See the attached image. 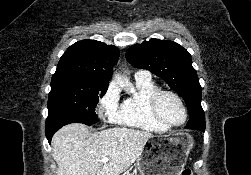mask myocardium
<instances>
[{
	"instance_id": "myocardium-1",
	"label": "myocardium",
	"mask_w": 251,
	"mask_h": 175,
	"mask_svg": "<svg viewBox=\"0 0 251 175\" xmlns=\"http://www.w3.org/2000/svg\"><path fill=\"white\" fill-rule=\"evenodd\" d=\"M165 94L173 95L175 98H177L179 100V102L182 104V106L184 108L185 119H184L183 123L178 126H173V125H170L169 123H167L161 117V115L159 113L158 102H159V99ZM147 106H148L149 113L155 119V121L158 122L160 125H162L164 128H166L167 130L173 131V130L182 129L187 125V123L189 121V115H190L189 108H188L186 102L184 101L182 95L174 90L158 89L149 97L148 102H147Z\"/></svg>"
}]
</instances>
